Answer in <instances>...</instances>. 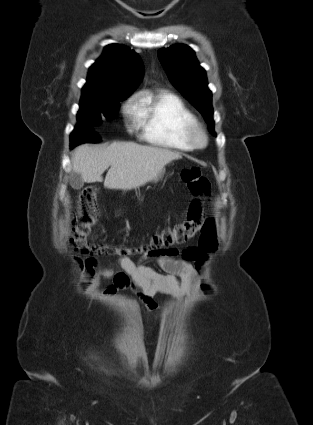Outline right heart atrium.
Returning a JSON list of instances; mask_svg holds the SVG:
<instances>
[{
  "mask_svg": "<svg viewBox=\"0 0 313 425\" xmlns=\"http://www.w3.org/2000/svg\"><path fill=\"white\" fill-rule=\"evenodd\" d=\"M126 113L134 114L135 113V105L133 102H129L125 107Z\"/></svg>",
  "mask_w": 313,
  "mask_h": 425,
  "instance_id": "obj_1",
  "label": "right heart atrium"
}]
</instances>
